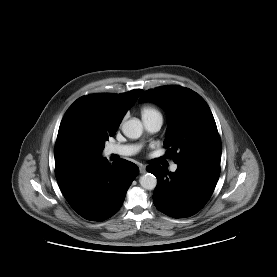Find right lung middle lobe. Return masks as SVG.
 Here are the masks:
<instances>
[{
	"label": "right lung middle lobe",
	"mask_w": 277,
	"mask_h": 277,
	"mask_svg": "<svg viewBox=\"0 0 277 277\" xmlns=\"http://www.w3.org/2000/svg\"><path fill=\"white\" fill-rule=\"evenodd\" d=\"M81 127L86 136L96 145L99 154H101L105 146L104 142L108 140L109 136L114 135V133H108L102 128L87 124L85 122L81 124Z\"/></svg>",
	"instance_id": "dd1d6c3e"
}]
</instances>
